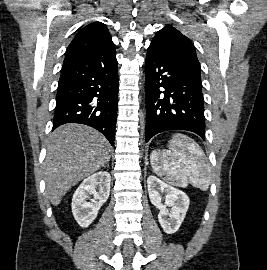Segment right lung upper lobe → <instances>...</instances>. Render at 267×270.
Returning a JSON list of instances; mask_svg holds the SVG:
<instances>
[{
    "instance_id": "right-lung-upper-lobe-1",
    "label": "right lung upper lobe",
    "mask_w": 267,
    "mask_h": 270,
    "mask_svg": "<svg viewBox=\"0 0 267 270\" xmlns=\"http://www.w3.org/2000/svg\"><path fill=\"white\" fill-rule=\"evenodd\" d=\"M114 46L106 26L93 22L82 28L67 48L64 62L84 57L91 53Z\"/></svg>"
}]
</instances>
